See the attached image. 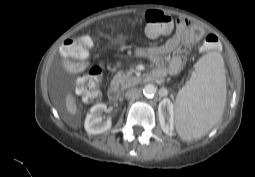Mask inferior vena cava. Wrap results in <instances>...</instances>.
Wrapping results in <instances>:
<instances>
[{
    "label": "inferior vena cava",
    "mask_w": 255,
    "mask_h": 177,
    "mask_svg": "<svg viewBox=\"0 0 255 177\" xmlns=\"http://www.w3.org/2000/svg\"><path fill=\"white\" fill-rule=\"evenodd\" d=\"M140 95H141V91L137 88H131V89L127 90L125 93V97L129 100L139 98Z\"/></svg>",
    "instance_id": "inferior-vena-cava-1"
}]
</instances>
